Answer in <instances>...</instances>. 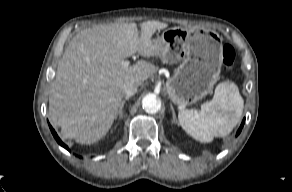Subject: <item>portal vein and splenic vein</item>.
Listing matches in <instances>:
<instances>
[{"label": "portal vein and splenic vein", "mask_w": 292, "mask_h": 192, "mask_svg": "<svg viewBox=\"0 0 292 192\" xmlns=\"http://www.w3.org/2000/svg\"><path fill=\"white\" fill-rule=\"evenodd\" d=\"M129 64H130V62H129L128 60H126V61H122V66H123V67H128Z\"/></svg>", "instance_id": "18ae733b"}]
</instances>
